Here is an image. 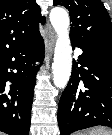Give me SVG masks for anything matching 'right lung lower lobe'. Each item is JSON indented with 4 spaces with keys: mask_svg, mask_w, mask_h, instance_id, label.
<instances>
[{
    "mask_svg": "<svg viewBox=\"0 0 112 135\" xmlns=\"http://www.w3.org/2000/svg\"><path fill=\"white\" fill-rule=\"evenodd\" d=\"M43 50L44 41L38 35L0 57V131L28 135L37 62H42Z\"/></svg>",
    "mask_w": 112,
    "mask_h": 135,
    "instance_id": "right-lung-lower-lobe-1",
    "label": "right lung lower lobe"
}]
</instances>
